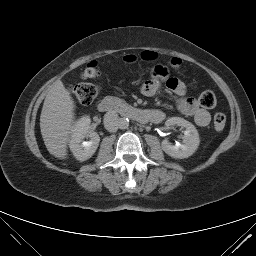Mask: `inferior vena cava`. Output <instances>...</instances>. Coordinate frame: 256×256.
Returning a JSON list of instances; mask_svg holds the SVG:
<instances>
[{
	"label": "inferior vena cava",
	"mask_w": 256,
	"mask_h": 256,
	"mask_svg": "<svg viewBox=\"0 0 256 256\" xmlns=\"http://www.w3.org/2000/svg\"><path fill=\"white\" fill-rule=\"evenodd\" d=\"M119 121L120 118L118 117V114L115 112H107L104 115V127L109 132H116L119 128Z\"/></svg>",
	"instance_id": "602c4592"
}]
</instances>
